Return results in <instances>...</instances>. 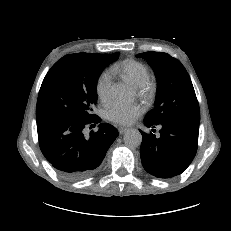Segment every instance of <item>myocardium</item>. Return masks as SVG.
I'll return each mask as SVG.
<instances>
[{
  "mask_svg": "<svg viewBox=\"0 0 231 231\" xmlns=\"http://www.w3.org/2000/svg\"><path fill=\"white\" fill-rule=\"evenodd\" d=\"M138 93L147 100H150L156 90V80L153 76L148 75L143 83L137 87Z\"/></svg>",
  "mask_w": 231,
  "mask_h": 231,
  "instance_id": "1",
  "label": "myocardium"
}]
</instances>
